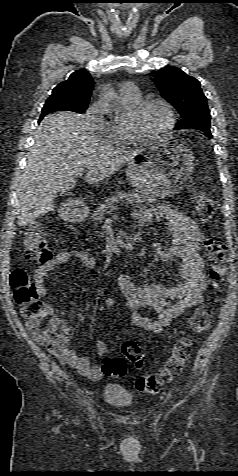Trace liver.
I'll return each instance as SVG.
<instances>
[{
  "instance_id": "obj_1",
  "label": "liver",
  "mask_w": 238,
  "mask_h": 476,
  "mask_svg": "<svg viewBox=\"0 0 238 476\" xmlns=\"http://www.w3.org/2000/svg\"><path fill=\"white\" fill-rule=\"evenodd\" d=\"M34 137L18 186V226L52 211L57 193L70 191L78 172L88 170L85 181L97 183L144 151L113 148L96 136L85 116L73 113L45 116Z\"/></svg>"
}]
</instances>
